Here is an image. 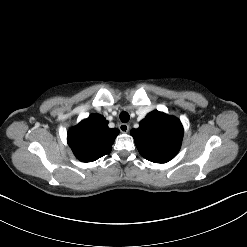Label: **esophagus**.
Segmentation results:
<instances>
[{
	"label": "esophagus",
	"mask_w": 247,
	"mask_h": 247,
	"mask_svg": "<svg viewBox=\"0 0 247 247\" xmlns=\"http://www.w3.org/2000/svg\"><path fill=\"white\" fill-rule=\"evenodd\" d=\"M119 129L122 133H127L130 129L129 125L128 124H125V123H121L119 125Z\"/></svg>",
	"instance_id": "34e87169"
}]
</instances>
